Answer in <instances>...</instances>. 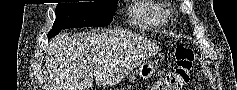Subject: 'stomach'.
<instances>
[{
	"instance_id": "0dacf381",
	"label": "stomach",
	"mask_w": 237,
	"mask_h": 90,
	"mask_svg": "<svg viewBox=\"0 0 237 90\" xmlns=\"http://www.w3.org/2000/svg\"><path fill=\"white\" fill-rule=\"evenodd\" d=\"M156 71V66L150 62L142 64L136 71L135 74L142 79L150 78Z\"/></svg>"
}]
</instances>
